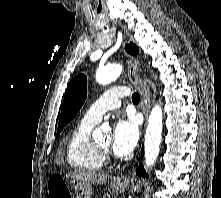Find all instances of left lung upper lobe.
I'll return each instance as SVG.
<instances>
[{
	"label": "left lung upper lobe",
	"instance_id": "left-lung-upper-lobe-1",
	"mask_svg": "<svg viewBox=\"0 0 221 198\" xmlns=\"http://www.w3.org/2000/svg\"><path fill=\"white\" fill-rule=\"evenodd\" d=\"M125 49L129 54H137L139 51L137 46L133 43L126 45ZM86 96V76L80 74L74 77L67 87L58 124L57 136H59L68 122L76 116L77 112L85 102Z\"/></svg>",
	"mask_w": 221,
	"mask_h": 198
}]
</instances>
